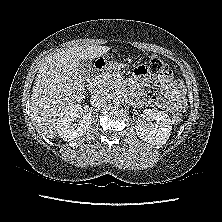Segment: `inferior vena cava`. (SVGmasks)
<instances>
[{
    "instance_id": "inferior-vena-cava-1",
    "label": "inferior vena cava",
    "mask_w": 222,
    "mask_h": 222,
    "mask_svg": "<svg viewBox=\"0 0 222 222\" xmlns=\"http://www.w3.org/2000/svg\"><path fill=\"white\" fill-rule=\"evenodd\" d=\"M107 94L104 93H97L92 95L90 99V103L92 106L100 108L106 106L107 102L109 101Z\"/></svg>"
}]
</instances>
